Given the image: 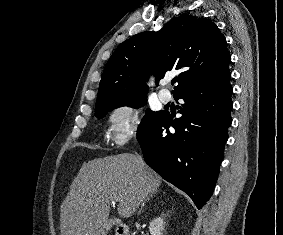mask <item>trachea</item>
Instances as JSON below:
<instances>
[{
  "instance_id": "1",
  "label": "trachea",
  "mask_w": 283,
  "mask_h": 235,
  "mask_svg": "<svg viewBox=\"0 0 283 235\" xmlns=\"http://www.w3.org/2000/svg\"><path fill=\"white\" fill-rule=\"evenodd\" d=\"M174 83H175V80H172V81H171V84L173 85Z\"/></svg>"
}]
</instances>
